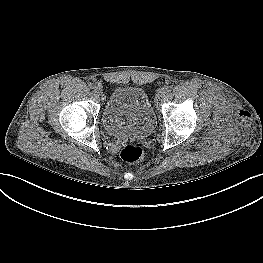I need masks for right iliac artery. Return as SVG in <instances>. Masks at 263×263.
Instances as JSON below:
<instances>
[{"label": "right iliac artery", "mask_w": 263, "mask_h": 263, "mask_svg": "<svg viewBox=\"0 0 263 263\" xmlns=\"http://www.w3.org/2000/svg\"><path fill=\"white\" fill-rule=\"evenodd\" d=\"M101 87V84L100 83H95L94 85H93V88L94 89H97V88H100Z\"/></svg>", "instance_id": "obj_1"}]
</instances>
